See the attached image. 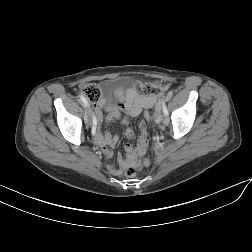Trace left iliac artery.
<instances>
[{
	"instance_id": "left-iliac-artery-1",
	"label": "left iliac artery",
	"mask_w": 252,
	"mask_h": 252,
	"mask_svg": "<svg viewBox=\"0 0 252 252\" xmlns=\"http://www.w3.org/2000/svg\"><path fill=\"white\" fill-rule=\"evenodd\" d=\"M161 105H162V108H163V113H164V115H165V116H168L169 113H168V110H167V108H166L164 99L161 100Z\"/></svg>"
}]
</instances>
